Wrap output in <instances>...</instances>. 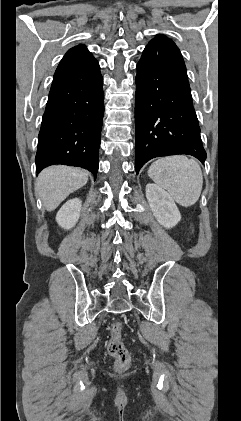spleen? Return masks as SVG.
Returning a JSON list of instances; mask_svg holds the SVG:
<instances>
[{
	"label": "spleen",
	"mask_w": 241,
	"mask_h": 421,
	"mask_svg": "<svg viewBox=\"0 0 241 421\" xmlns=\"http://www.w3.org/2000/svg\"><path fill=\"white\" fill-rule=\"evenodd\" d=\"M148 176L183 207L194 205L200 197L203 175L194 159L183 155L160 158L151 164Z\"/></svg>",
	"instance_id": "3e777b00"
}]
</instances>
